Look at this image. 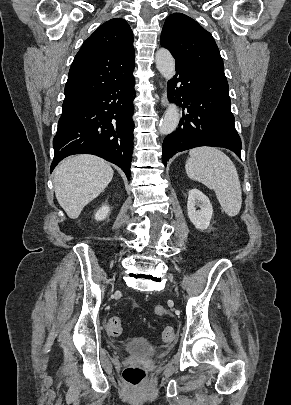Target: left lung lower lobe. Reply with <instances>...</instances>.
<instances>
[{
    "mask_svg": "<svg viewBox=\"0 0 291 405\" xmlns=\"http://www.w3.org/2000/svg\"><path fill=\"white\" fill-rule=\"evenodd\" d=\"M167 91L169 100L185 112L178 128L163 142L165 166L176 153L200 146L227 148L241 158V139L224 71L176 62V74Z\"/></svg>",
    "mask_w": 291,
    "mask_h": 405,
    "instance_id": "obj_1",
    "label": "left lung lower lobe"
}]
</instances>
